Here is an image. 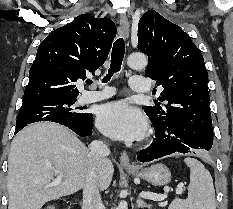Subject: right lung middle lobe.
<instances>
[{"label": "right lung middle lobe", "instance_id": "obj_1", "mask_svg": "<svg viewBox=\"0 0 233 209\" xmlns=\"http://www.w3.org/2000/svg\"><path fill=\"white\" fill-rule=\"evenodd\" d=\"M75 102L76 98H48L22 103L16 126L22 127L38 121H51L62 125L82 122L88 113L72 107Z\"/></svg>", "mask_w": 233, "mask_h": 209}]
</instances>
